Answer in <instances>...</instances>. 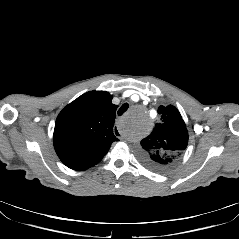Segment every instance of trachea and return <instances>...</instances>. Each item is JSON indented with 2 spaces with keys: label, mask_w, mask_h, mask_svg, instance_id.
I'll return each instance as SVG.
<instances>
[{
  "label": "trachea",
  "mask_w": 239,
  "mask_h": 239,
  "mask_svg": "<svg viewBox=\"0 0 239 239\" xmlns=\"http://www.w3.org/2000/svg\"><path fill=\"white\" fill-rule=\"evenodd\" d=\"M129 108L128 103L123 104L118 110V116H121Z\"/></svg>",
  "instance_id": "obj_1"
}]
</instances>
